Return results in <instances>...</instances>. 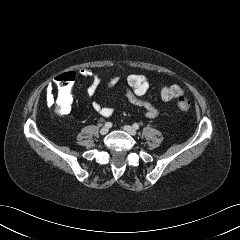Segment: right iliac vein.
Listing matches in <instances>:
<instances>
[{
	"mask_svg": "<svg viewBox=\"0 0 240 240\" xmlns=\"http://www.w3.org/2000/svg\"><path fill=\"white\" fill-rule=\"evenodd\" d=\"M108 131H109V129H108L107 127H103V128H101V130H100V134H101V135H105V134L108 133Z\"/></svg>",
	"mask_w": 240,
	"mask_h": 240,
	"instance_id": "obj_1",
	"label": "right iliac vein"
}]
</instances>
